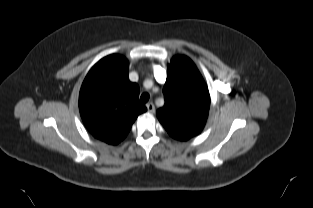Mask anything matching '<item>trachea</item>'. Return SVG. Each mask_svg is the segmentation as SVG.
<instances>
[{
	"mask_svg": "<svg viewBox=\"0 0 313 208\" xmlns=\"http://www.w3.org/2000/svg\"><path fill=\"white\" fill-rule=\"evenodd\" d=\"M140 100L142 103H147L149 100V94L148 93H143L140 97Z\"/></svg>",
	"mask_w": 313,
	"mask_h": 208,
	"instance_id": "obj_1",
	"label": "trachea"
}]
</instances>
